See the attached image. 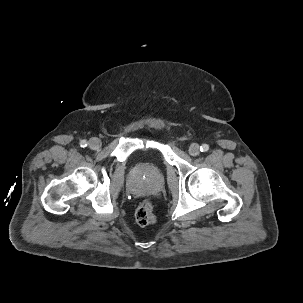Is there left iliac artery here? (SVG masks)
Here are the masks:
<instances>
[{"label":"left iliac artery","mask_w":303,"mask_h":303,"mask_svg":"<svg viewBox=\"0 0 303 303\" xmlns=\"http://www.w3.org/2000/svg\"><path fill=\"white\" fill-rule=\"evenodd\" d=\"M209 150V146L207 144H202V146L200 147V151L202 152H206Z\"/></svg>","instance_id":"left-iliac-artery-1"}]
</instances>
